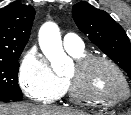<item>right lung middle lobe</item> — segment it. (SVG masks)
<instances>
[{
	"label": "right lung middle lobe",
	"instance_id": "obj_1",
	"mask_svg": "<svg viewBox=\"0 0 131 115\" xmlns=\"http://www.w3.org/2000/svg\"><path fill=\"white\" fill-rule=\"evenodd\" d=\"M22 51L0 58V101L22 99L18 85V59Z\"/></svg>",
	"mask_w": 131,
	"mask_h": 115
}]
</instances>
